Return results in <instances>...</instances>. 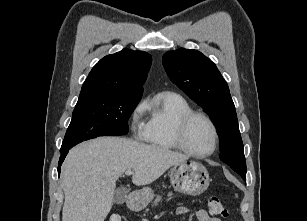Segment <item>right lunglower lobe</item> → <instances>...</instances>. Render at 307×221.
Here are the masks:
<instances>
[{"label": "right lung lower lobe", "instance_id": "98d812e1", "mask_svg": "<svg viewBox=\"0 0 307 221\" xmlns=\"http://www.w3.org/2000/svg\"><path fill=\"white\" fill-rule=\"evenodd\" d=\"M68 151H69V149L61 152V156H60L59 163H58V173H59V175H60V171H61L60 166H61L62 162L64 161Z\"/></svg>", "mask_w": 307, "mask_h": 221}]
</instances>
